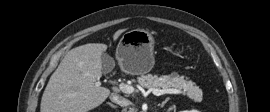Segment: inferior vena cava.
I'll list each match as a JSON object with an SVG mask.
<instances>
[{
	"label": "inferior vena cava",
	"mask_w": 270,
	"mask_h": 112,
	"mask_svg": "<svg viewBox=\"0 0 270 112\" xmlns=\"http://www.w3.org/2000/svg\"><path fill=\"white\" fill-rule=\"evenodd\" d=\"M110 100L120 106H128L131 102L130 100L116 94V93H112L110 96Z\"/></svg>",
	"instance_id": "1"
}]
</instances>
